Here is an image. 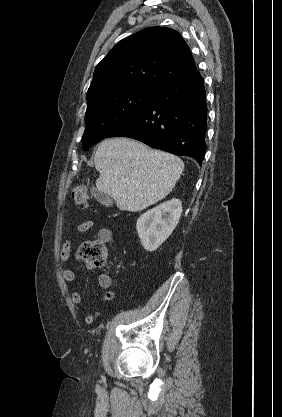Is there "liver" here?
Wrapping results in <instances>:
<instances>
[{
    "mask_svg": "<svg viewBox=\"0 0 282 417\" xmlns=\"http://www.w3.org/2000/svg\"><path fill=\"white\" fill-rule=\"evenodd\" d=\"M96 186L114 198L120 211H143L171 192L184 162L169 152L151 150L126 136L105 138L94 158Z\"/></svg>",
    "mask_w": 282,
    "mask_h": 417,
    "instance_id": "liver-1",
    "label": "liver"
}]
</instances>
